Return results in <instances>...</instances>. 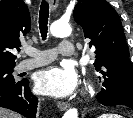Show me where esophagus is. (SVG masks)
Here are the masks:
<instances>
[{
  "instance_id": "1",
  "label": "esophagus",
  "mask_w": 133,
  "mask_h": 118,
  "mask_svg": "<svg viewBox=\"0 0 133 118\" xmlns=\"http://www.w3.org/2000/svg\"><path fill=\"white\" fill-rule=\"evenodd\" d=\"M48 2H49L51 10L52 11L56 10V8L58 7L59 1L58 0H48ZM57 106L61 111H65L69 108L70 104L67 102H58Z\"/></svg>"
}]
</instances>
